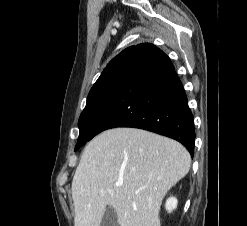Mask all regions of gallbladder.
Returning <instances> with one entry per match:
<instances>
[{"label":"gallbladder","mask_w":247,"mask_h":226,"mask_svg":"<svg viewBox=\"0 0 247 226\" xmlns=\"http://www.w3.org/2000/svg\"><path fill=\"white\" fill-rule=\"evenodd\" d=\"M100 226H118V217L114 208L108 207L105 210Z\"/></svg>","instance_id":"1"}]
</instances>
